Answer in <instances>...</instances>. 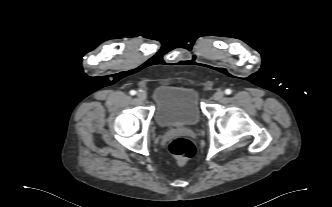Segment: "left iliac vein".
<instances>
[{"label":"left iliac vein","instance_id":"left-iliac-vein-1","mask_svg":"<svg viewBox=\"0 0 332 207\" xmlns=\"http://www.w3.org/2000/svg\"><path fill=\"white\" fill-rule=\"evenodd\" d=\"M224 96V92L221 91V90H218L217 92L214 93L213 95V99L218 101V100H221Z\"/></svg>","mask_w":332,"mask_h":207}]
</instances>
